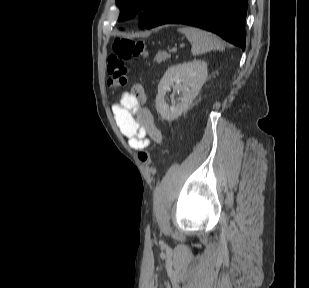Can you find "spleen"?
Here are the masks:
<instances>
[{"label": "spleen", "mask_w": 309, "mask_h": 288, "mask_svg": "<svg viewBox=\"0 0 309 288\" xmlns=\"http://www.w3.org/2000/svg\"><path fill=\"white\" fill-rule=\"evenodd\" d=\"M191 42V52L193 55H199L211 50H223V43L214 34L195 28L183 27L179 29Z\"/></svg>", "instance_id": "spleen-1"}]
</instances>
